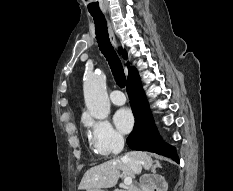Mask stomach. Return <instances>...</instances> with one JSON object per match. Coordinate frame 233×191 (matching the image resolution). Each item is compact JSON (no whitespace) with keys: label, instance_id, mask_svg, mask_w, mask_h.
Masks as SVG:
<instances>
[{"label":"stomach","instance_id":"stomach-1","mask_svg":"<svg viewBox=\"0 0 233 191\" xmlns=\"http://www.w3.org/2000/svg\"><path fill=\"white\" fill-rule=\"evenodd\" d=\"M94 191H104V190H94Z\"/></svg>","mask_w":233,"mask_h":191}]
</instances>
